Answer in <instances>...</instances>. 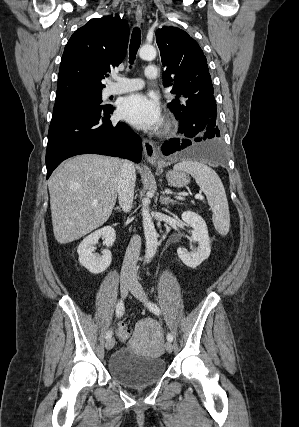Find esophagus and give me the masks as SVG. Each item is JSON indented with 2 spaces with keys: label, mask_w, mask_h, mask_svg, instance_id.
<instances>
[{
  "label": "esophagus",
  "mask_w": 299,
  "mask_h": 427,
  "mask_svg": "<svg viewBox=\"0 0 299 427\" xmlns=\"http://www.w3.org/2000/svg\"><path fill=\"white\" fill-rule=\"evenodd\" d=\"M135 17H136L137 24H140L142 22V8L140 6H138L136 9ZM142 143H143V151H144L146 160L150 164H153V165L156 164L158 162V152L154 144L148 139H143Z\"/></svg>",
  "instance_id": "1"
}]
</instances>
